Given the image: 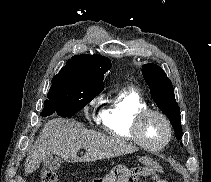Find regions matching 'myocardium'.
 Masks as SVG:
<instances>
[{"instance_id":"myocardium-1","label":"myocardium","mask_w":211,"mask_h":182,"mask_svg":"<svg viewBox=\"0 0 211 182\" xmlns=\"http://www.w3.org/2000/svg\"><path fill=\"white\" fill-rule=\"evenodd\" d=\"M148 115L159 116L164 121L166 128H167V136H166L165 140L157 146H152V145L147 144L142 138L141 125H142V122L145 119V117H147ZM132 133H133V137H134L135 141L141 147H143L147 150H151V151H159V150L163 149L164 147H166L169 144V142L171 141L172 136H173V128H172V124H171L169 118L162 111L157 110V109H152V108H145V109L140 110L135 115L133 125H132Z\"/></svg>"}]
</instances>
